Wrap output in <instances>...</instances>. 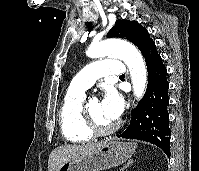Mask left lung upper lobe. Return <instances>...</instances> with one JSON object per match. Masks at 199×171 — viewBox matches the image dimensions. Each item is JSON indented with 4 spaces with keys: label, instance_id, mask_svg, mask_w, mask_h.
I'll return each mask as SVG.
<instances>
[{
    "label": "left lung upper lobe",
    "instance_id": "1",
    "mask_svg": "<svg viewBox=\"0 0 199 171\" xmlns=\"http://www.w3.org/2000/svg\"><path fill=\"white\" fill-rule=\"evenodd\" d=\"M108 38H124L134 43L140 51L152 39L148 31L136 21L117 20L114 27L107 33Z\"/></svg>",
    "mask_w": 199,
    "mask_h": 171
}]
</instances>
